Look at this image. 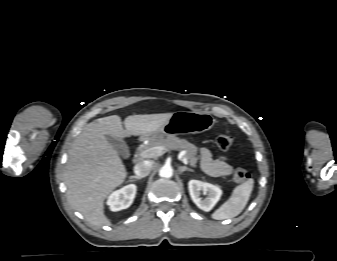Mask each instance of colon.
<instances>
[{"label":"colon","mask_w":337,"mask_h":261,"mask_svg":"<svg viewBox=\"0 0 337 261\" xmlns=\"http://www.w3.org/2000/svg\"><path fill=\"white\" fill-rule=\"evenodd\" d=\"M233 139L229 135H219L216 138V145L222 151H227L232 147ZM233 178L236 182H245L250 178V174L244 169H236L233 173Z\"/></svg>","instance_id":"1"}]
</instances>
